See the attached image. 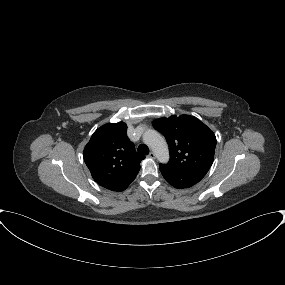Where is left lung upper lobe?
<instances>
[{
    "mask_svg": "<svg viewBox=\"0 0 285 285\" xmlns=\"http://www.w3.org/2000/svg\"><path fill=\"white\" fill-rule=\"evenodd\" d=\"M169 145L170 160L160 164L181 174H206L210 169L216 147L214 133L199 119L189 115H173L153 121Z\"/></svg>",
    "mask_w": 285,
    "mask_h": 285,
    "instance_id": "obj_1",
    "label": "left lung upper lobe"
}]
</instances>
